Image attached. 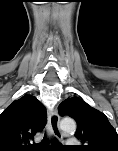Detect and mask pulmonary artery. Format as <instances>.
I'll list each match as a JSON object with an SVG mask.
<instances>
[{
  "label": "pulmonary artery",
  "instance_id": "pulmonary-artery-1",
  "mask_svg": "<svg viewBox=\"0 0 118 151\" xmlns=\"http://www.w3.org/2000/svg\"><path fill=\"white\" fill-rule=\"evenodd\" d=\"M67 143L70 144V145H74V144H77L78 142H77L76 139H69V140L67 141Z\"/></svg>",
  "mask_w": 118,
  "mask_h": 151
}]
</instances>
